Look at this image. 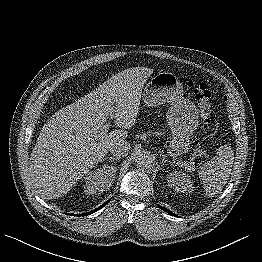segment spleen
<instances>
[{
  "mask_svg": "<svg viewBox=\"0 0 262 262\" xmlns=\"http://www.w3.org/2000/svg\"><path fill=\"white\" fill-rule=\"evenodd\" d=\"M234 161V152L228 145L218 148L213 160L203 164L198 169V175L209 194L218 193L227 183Z\"/></svg>",
  "mask_w": 262,
  "mask_h": 262,
  "instance_id": "1",
  "label": "spleen"
}]
</instances>
